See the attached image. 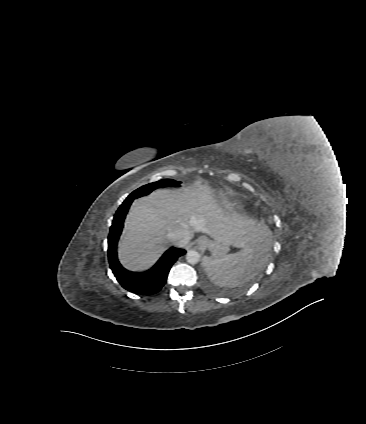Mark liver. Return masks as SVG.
Returning <instances> with one entry per match:
<instances>
[{"mask_svg":"<svg viewBox=\"0 0 366 424\" xmlns=\"http://www.w3.org/2000/svg\"><path fill=\"white\" fill-rule=\"evenodd\" d=\"M220 198L208 184L196 183L182 190L158 189L135 200L118 246L120 263L132 272L147 270L169 247L170 234L179 229L191 236L203 232L236 248L258 246L265 250L263 246L270 243L269 228L232 212Z\"/></svg>","mask_w":366,"mask_h":424,"instance_id":"liver-1","label":"liver"}]
</instances>
